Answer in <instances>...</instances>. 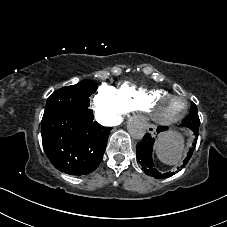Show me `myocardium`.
Here are the masks:
<instances>
[{
	"instance_id": "myocardium-1",
	"label": "myocardium",
	"mask_w": 227,
	"mask_h": 227,
	"mask_svg": "<svg viewBox=\"0 0 227 227\" xmlns=\"http://www.w3.org/2000/svg\"><path fill=\"white\" fill-rule=\"evenodd\" d=\"M165 99L181 100L182 107L180 108V110H178L176 113L170 116H167V117L161 116L157 112V108ZM187 110H188V101L184 95L166 94L163 96L153 98L150 101H148L147 104L145 105L143 112L145 113L147 119L150 120L151 122L158 125H164V124H172V123L178 122L184 117Z\"/></svg>"
}]
</instances>
